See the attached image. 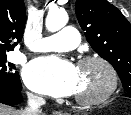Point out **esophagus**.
<instances>
[{
	"label": "esophagus",
	"instance_id": "34e87169",
	"mask_svg": "<svg viewBox=\"0 0 131 115\" xmlns=\"http://www.w3.org/2000/svg\"><path fill=\"white\" fill-rule=\"evenodd\" d=\"M53 115H62V114H61V112H59V111H54V112H53Z\"/></svg>",
	"mask_w": 131,
	"mask_h": 115
}]
</instances>
